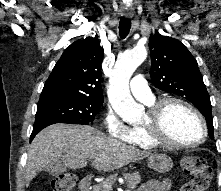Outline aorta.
Returning <instances> with one entry per match:
<instances>
[{
    "label": "aorta",
    "mask_w": 221,
    "mask_h": 191,
    "mask_svg": "<svg viewBox=\"0 0 221 191\" xmlns=\"http://www.w3.org/2000/svg\"><path fill=\"white\" fill-rule=\"evenodd\" d=\"M147 57L144 47L124 52L116 61L110 77L108 97L115 112L126 122L134 123L143 115V107L136 103L129 90V80Z\"/></svg>",
    "instance_id": "obj_1"
}]
</instances>
